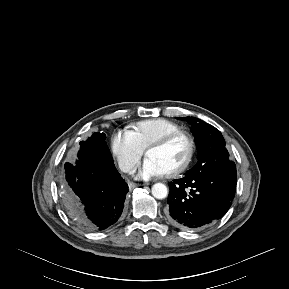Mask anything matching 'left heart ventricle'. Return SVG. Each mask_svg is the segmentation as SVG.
<instances>
[{"instance_id":"b2bd125f","label":"left heart ventricle","mask_w":289,"mask_h":289,"mask_svg":"<svg viewBox=\"0 0 289 289\" xmlns=\"http://www.w3.org/2000/svg\"><path fill=\"white\" fill-rule=\"evenodd\" d=\"M187 152L188 144L185 139L180 138L165 147L149 151L147 157L155 160L167 173L183 162Z\"/></svg>"}]
</instances>
